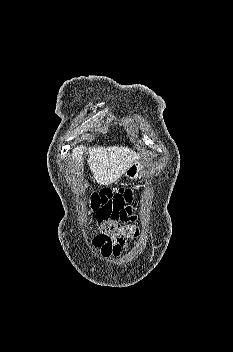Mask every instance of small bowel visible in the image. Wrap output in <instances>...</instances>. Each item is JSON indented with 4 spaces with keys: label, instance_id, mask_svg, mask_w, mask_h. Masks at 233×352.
Listing matches in <instances>:
<instances>
[{
    "label": "small bowel",
    "instance_id": "small-bowel-1",
    "mask_svg": "<svg viewBox=\"0 0 233 352\" xmlns=\"http://www.w3.org/2000/svg\"><path fill=\"white\" fill-rule=\"evenodd\" d=\"M132 197L130 189L103 188L91 194L90 207L98 222L114 219L124 223L128 220H135L132 209L128 205ZM93 244L100 249L105 257L119 256L125 246L123 239L104 240L99 236L94 239Z\"/></svg>",
    "mask_w": 233,
    "mask_h": 352
}]
</instances>
